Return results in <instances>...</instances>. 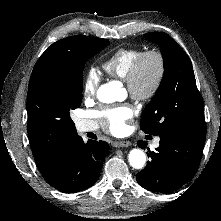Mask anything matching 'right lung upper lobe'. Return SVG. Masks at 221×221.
I'll return each instance as SVG.
<instances>
[{
    "label": "right lung upper lobe",
    "mask_w": 221,
    "mask_h": 221,
    "mask_svg": "<svg viewBox=\"0 0 221 221\" xmlns=\"http://www.w3.org/2000/svg\"><path fill=\"white\" fill-rule=\"evenodd\" d=\"M81 37L71 36L61 39L46 49L33 69L27 99L30 97L33 84L39 72L46 67L54 65L64 57H71L76 52ZM28 135L35 162L41 173L49 169L54 158L64 145L79 137L75 128L58 130L38 124L32 119L30 113H28Z\"/></svg>",
    "instance_id": "1"
}]
</instances>
